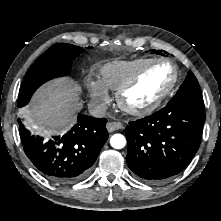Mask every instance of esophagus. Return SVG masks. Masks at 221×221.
I'll list each match as a JSON object with an SVG mask.
<instances>
[{
  "mask_svg": "<svg viewBox=\"0 0 221 221\" xmlns=\"http://www.w3.org/2000/svg\"><path fill=\"white\" fill-rule=\"evenodd\" d=\"M108 132H113L123 128V125L120 122H109L107 123Z\"/></svg>",
  "mask_w": 221,
  "mask_h": 221,
  "instance_id": "34e87169",
  "label": "esophagus"
}]
</instances>
